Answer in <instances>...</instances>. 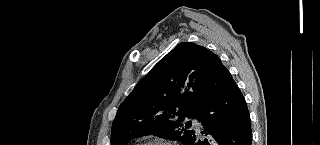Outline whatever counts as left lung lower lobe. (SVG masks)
<instances>
[{"label": "left lung lower lobe", "instance_id": "1", "mask_svg": "<svg viewBox=\"0 0 320 145\" xmlns=\"http://www.w3.org/2000/svg\"><path fill=\"white\" fill-rule=\"evenodd\" d=\"M202 104L196 119L201 123L198 137L193 130L187 145H251V120L246 101L221 60L202 85Z\"/></svg>", "mask_w": 320, "mask_h": 145}]
</instances>
